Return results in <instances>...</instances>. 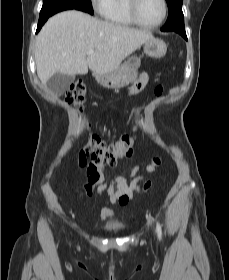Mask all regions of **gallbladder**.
<instances>
[{
	"instance_id": "obj_1",
	"label": "gallbladder",
	"mask_w": 229,
	"mask_h": 280,
	"mask_svg": "<svg viewBox=\"0 0 229 280\" xmlns=\"http://www.w3.org/2000/svg\"><path fill=\"white\" fill-rule=\"evenodd\" d=\"M74 75L55 74L47 81V87L54 94L61 96L64 94L69 86L74 82Z\"/></svg>"
}]
</instances>
